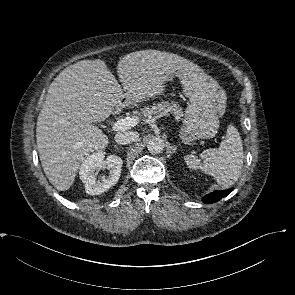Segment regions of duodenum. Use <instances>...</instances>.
<instances>
[{
    "label": "duodenum",
    "mask_w": 295,
    "mask_h": 295,
    "mask_svg": "<svg viewBox=\"0 0 295 295\" xmlns=\"http://www.w3.org/2000/svg\"><path fill=\"white\" fill-rule=\"evenodd\" d=\"M119 107H122V104H119Z\"/></svg>",
    "instance_id": "duodenum-1"
}]
</instances>
